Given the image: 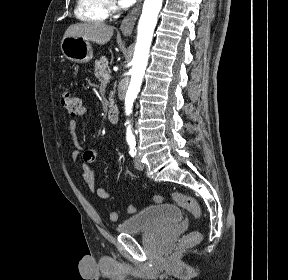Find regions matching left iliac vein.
Segmentation results:
<instances>
[{
  "mask_svg": "<svg viewBox=\"0 0 288 280\" xmlns=\"http://www.w3.org/2000/svg\"><path fill=\"white\" fill-rule=\"evenodd\" d=\"M134 165H135V168L137 170H143V168H144V165H143V163L141 162V160H140V158L138 156L134 160Z\"/></svg>",
  "mask_w": 288,
  "mask_h": 280,
  "instance_id": "left-iliac-vein-1",
  "label": "left iliac vein"
}]
</instances>
